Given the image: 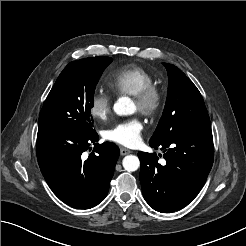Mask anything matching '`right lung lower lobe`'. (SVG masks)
<instances>
[{"label": "right lung lower lobe", "instance_id": "obj_1", "mask_svg": "<svg viewBox=\"0 0 246 246\" xmlns=\"http://www.w3.org/2000/svg\"><path fill=\"white\" fill-rule=\"evenodd\" d=\"M90 134L68 129L41 127L37 135V159L41 172L54 194L78 209H89L107 195L120 151L112 142L95 144ZM95 153L84 160L90 144Z\"/></svg>", "mask_w": 246, "mask_h": 246}]
</instances>
